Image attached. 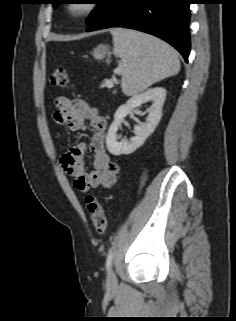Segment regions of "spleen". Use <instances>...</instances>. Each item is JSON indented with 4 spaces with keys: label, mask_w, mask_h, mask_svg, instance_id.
<instances>
[{
    "label": "spleen",
    "mask_w": 236,
    "mask_h": 321,
    "mask_svg": "<svg viewBox=\"0 0 236 321\" xmlns=\"http://www.w3.org/2000/svg\"><path fill=\"white\" fill-rule=\"evenodd\" d=\"M114 54L121 58L122 91L137 95L152 84L176 75L180 62L176 51L164 41L138 31L111 30Z\"/></svg>",
    "instance_id": "1"
}]
</instances>
